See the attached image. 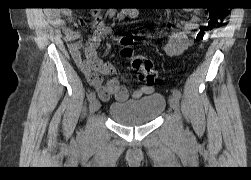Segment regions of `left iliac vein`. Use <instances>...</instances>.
I'll return each mask as SVG.
<instances>
[{"instance_id": "left-iliac-vein-1", "label": "left iliac vein", "mask_w": 251, "mask_h": 180, "mask_svg": "<svg viewBox=\"0 0 251 180\" xmlns=\"http://www.w3.org/2000/svg\"><path fill=\"white\" fill-rule=\"evenodd\" d=\"M169 104H170L171 108L174 110L175 114L179 117L180 109H179L178 99L175 96H170Z\"/></svg>"}]
</instances>
